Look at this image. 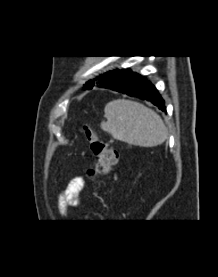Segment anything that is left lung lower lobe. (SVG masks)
<instances>
[{"label": "left lung lower lobe", "instance_id": "0a47b994", "mask_svg": "<svg viewBox=\"0 0 218 277\" xmlns=\"http://www.w3.org/2000/svg\"><path fill=\"white\" fill-rule=\"evenodd\" d=\"M100 87L150 101L165 111L164 101L157 89L144 76L130 70H118L105 79Z\"/></svg>", "mask_w": 218, "mask_h": 277}]
</instances>
